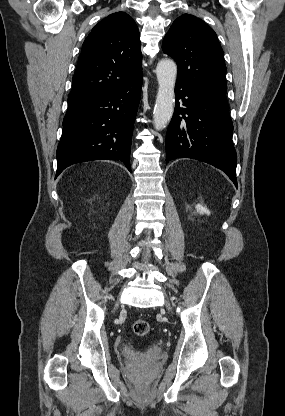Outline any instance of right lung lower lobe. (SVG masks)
<instances>
[{
	"mask_svg": "<svg viewBox=\"0 0 285 416\" xmlns=\"http://www.w3.org/2000/svg\"><path fill=\"white\" fill-rule=\"evenodd\" d=\"M141 86L142 76L110 94L68 107L55 178L72 164L92 160H120L131 172V140Z\"/></svg>",
	"mask_w": 285,
	"mask_h": 416,
	"instance_id": "1",
	"label": "right lung lower lobe"
}]
</instances>
